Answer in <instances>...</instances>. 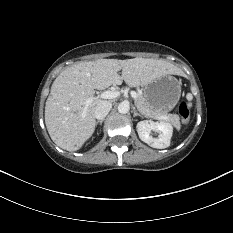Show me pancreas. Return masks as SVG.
Returning <instances> with one entry per match:
<instances>
[{"label":"pancreas","mask_w":233,"mask_h":233,"mask_svg":"<svg viewBox=\"0 0 233 233\" xmlns=\"http://www.w3.org/2000/svg\"><path fill=\"white\" fill-rule=\"evenodd\" d=\"M135 105L137 109L140 111V113L146 117L155 118V117L162 116V115L169 116V118L166 121L172 124L177 129H180L181 124H180V118L178 115L167 114L157 109H152L149 106L143 94H137V98L135 99Z\"/></svg>","instance_id":"1"}]
</instances>
